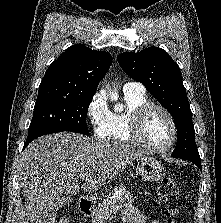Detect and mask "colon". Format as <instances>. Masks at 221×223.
Returning a JSON list of instances; mask_svg holds the SVG:
<instances>
[{"label": "colon", "mask_w": 221, "mask_h": 223, "mask_svg": "<svg viewBox=\"0 0 221 223\" xmlns=\"http://www.w3.org/2000/svg\"><path fill=\"white\" fill-rule=\"evenodd\" d=\"M178 194V187L170 177H164L161 179L159 185V195L163 201H170ZM178 212L175 208L169 207L165 211L167 223H177ZM57 223H70L68 217L63 216L57 220Z\"/></svg>", "instance_id": "5ec220e1"}]
</instances>
